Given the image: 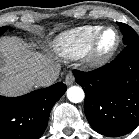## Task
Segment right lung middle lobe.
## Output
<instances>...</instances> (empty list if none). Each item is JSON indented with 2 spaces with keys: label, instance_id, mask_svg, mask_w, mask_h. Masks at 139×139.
Returning <instances> with one entry per match:
<instances>
[{
  "label": "right lung middle lobe",
  "instance_id": "obj_1",
  "mask_svg": "<svg viewBox=\"0 0 139 139\" xmlns=\"http://www.w3.org/2000/svg\"><path fill=\"white\" fill-rule=\"evenodd\" d=\"M10 29H12V28H10ZM6 30H7V27H1L0 28V35H2L4 32H6Z\"/></svg>",
  "mask_w": 139,
  "mask_h": 139
}]
</instances>
